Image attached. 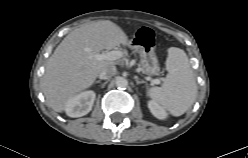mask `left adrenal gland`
<instances>
[{"label":"left adrenal gland","instance_id":"1","mask_svg":"<svg viewBox=\"0 0 248 158\" xmlns=\"http://www.w3.org/2000/svg\"><path fill=\"white\" fill-rule=\"evenodd\" d=\"M136 84H146V82L144 80H139L138 78H136Z\"/></svg>","mask_w":248,"mask_h":158}]
</instances>
